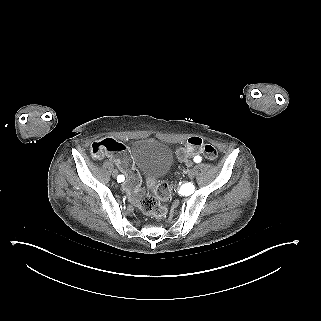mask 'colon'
I'll list each match as a JSON object with an SVG mask.
<instances>
[{"instance_id": "5ec220e1", "label": "colon", "mask_w": 321, "mask_h": 321, "mask_svg": "<svg viewBox=\"0 0 321 321\" xmlns=\"http://www.w3.org/2000/svg\"><path fill=\"white\" fill-rule=\"evenodd\" d=\"M91 155L95 159H100L107 155L117 164L120 171L125 175L123 189L129 199L144 214L164 218L167 214L166 208L160 200H167L171 196V186L164 181H151L150 187L153 192L141 187V178L134 167L129 151L126 146L113 138H105L96 141L91 146ZM177 156L183 161H188L196 156H202L205 159L213 160L217 156L216 149L210 143L204 142L199 137H191L184 146L179 148Z\"/></svg>"}]
</instances>
